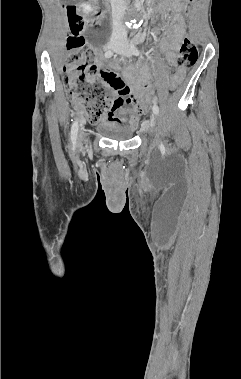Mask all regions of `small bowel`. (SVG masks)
Segmentation results:
<instances>
[{
    "instance_id": "small-bowel-1",
    "label": "small bowel",
    "mask_w": 241,
    "mask_h": 379,
    "mask_svg": "<svg viewBox=\"0 0 241 379\" xmlns=\"http://www.w3.org/2000/svg\"><path fill=\"white\" fill-rule=\"evenodd\" d=\"M182 0H166L165 6L168 7L172 13L171 27L166 30L165 38L160 42V48L164 52L165 60L169 64H174L176 61V51L178 50L182 37L185 32V23L180 14ZM100 77L106 85L114 89L118 95L114 98L115 105L113 109L107 114L106 118L119 122L130 127H135L138 123L140 115L146 114V108L149 107L148 101H143L140 97L142 92H145L151 87L150 72L147 66L132 67L124 74V79L117 76L115 73L99 70ZM103 72L111 73L123 82L128 89L127 95H122L118 90L113 88L111 84L103 77ZM183 73L179 71L178 77ZM129 88L132 92H129ZM132 105V106H129Z\"/></svg>"
}]
</instances>
